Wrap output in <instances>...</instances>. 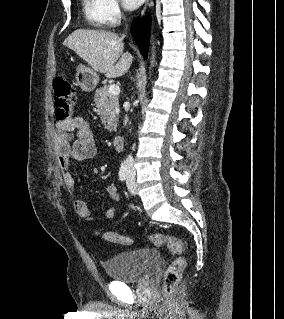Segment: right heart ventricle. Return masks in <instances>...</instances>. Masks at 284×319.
I'll list each match as a JSON object with an SVG mask.
<instances>
[{
    "instance_id": "obj_1",
    "label": "right heart ventricle",
    "mask_w": 284,
    "mask_h": 319,
    "mask_svg": "<svg viewBox=\"0 0 284 319\" xmlns=\"http://www.w3.org/2000/svg\"><path fill=\"white\" fill-rule=\"evenodd\" d=\"M86 20L94 27H105L108 21L104 11V0H81Z\"/></svg>"
}]
</instances>
